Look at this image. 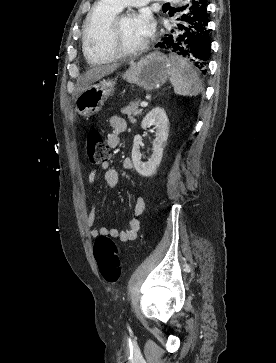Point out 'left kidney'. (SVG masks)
I'll list each match as a JSON object with an SVG mask.
<instances>
[{
    "label": "left kidney",
    "mask_w": 276,
    "mask_h": 363,
    "mask_svg": "<svg viewBox=\"0 0 276 363\" xmlns=\"http://www.w3.org/2000/svg\"><path fill=\"white\" fill-rule=\"evenodd\" d=\"M141 126L142 128L154 126L156 130L155 139L152 143L153 154L147 162L141 160L140 142L142 137L140 135H135L132 148V161L135 170L140 175L143 177H150L161 163L163 149L168 139L169 120L165 110L161 107H155L144 117Z\"/></svg>",
    "instance_id": "5707ae66"
}]
</instances>
